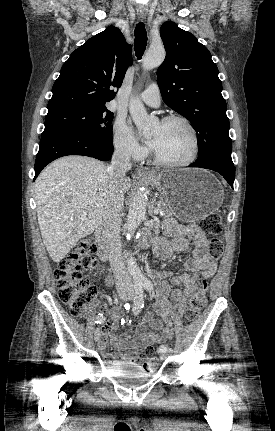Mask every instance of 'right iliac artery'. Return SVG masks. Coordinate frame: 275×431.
<instances>
[{
    "label": "right iliac artery",
    "mask_w": 275,
    "mask_h": 431,
    "mask_svg": "<svg viewBox=\"0 0 275 431\" xmlns=\"http://www.w3.org/2000/svg\"><path fill=\"white\" fill-rule=\"evenodd\" d=\"M143 287L144 286L142 283H138L135 285V297L133 300V312L135 315L139 314V312L144 306ZM104 321H105V317L103 316V314H99L96 317L95 323L102 324Z\"/></svg>",
    "instance_id": "1"
}]
</instances>
